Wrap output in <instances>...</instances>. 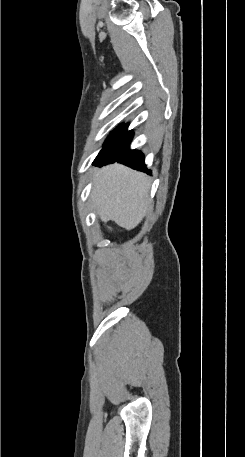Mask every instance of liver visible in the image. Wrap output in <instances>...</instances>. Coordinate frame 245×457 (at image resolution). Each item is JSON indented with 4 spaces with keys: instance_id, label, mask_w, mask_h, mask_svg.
<instances>
[{
    "instance_id": "obj_1",
    "label": "liver",
    "mask_w": 245,
    "mask_h": 457,
    "mask_svg": "<svg viewBox=\"0 0 245 457\" xmlns=\"http://www.w3.org/2000/svg\"><path fill=\"white\" fill-rule=\"evenodd\" d=\"M95 178L91 198L101 220H115L126 231L135 229L149 204L146 174L115 162L100 168Z\"/></svg>"
}]
</instances>
